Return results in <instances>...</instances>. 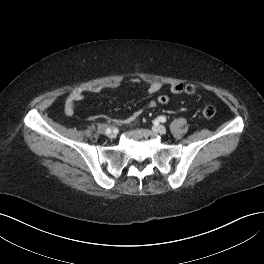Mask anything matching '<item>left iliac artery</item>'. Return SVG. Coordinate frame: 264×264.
<instances>
[{
    "instance_id": "1",
    "label": "left iliac artery",
    "mask_w": 264,
    "mask_h": 264,
    "mask_svg": "<svg viewBox=\"0 0 264 264\" xmlns=\"http://www.w3.org/2000/svg\"><path fill=\"white\" fill-rule=\"evenodd\" d=\"M158 121L165 123L166 122V118L164 116H160L158 117Z\"/></svg>"
}]
</instances>
